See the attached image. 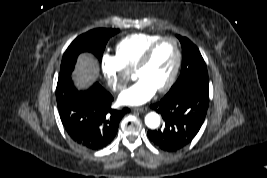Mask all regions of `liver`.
<instances>
[{
	"label": "liver",
	"instance_id": "6515ba94",
	"mask_svg": "<svg viewBox=\"0 0 267 178\" xmlns=\"http://www.w3.org/2000/svg\"><path fill=\"white\" fill-rule=\"evenodd\" d=\"M99 77V65L91 54H81L78 58L74 79L79 88H85Z\"/></svg>",
	"mask_w": 267,
	"mask_h": 178
}]
</instances>
